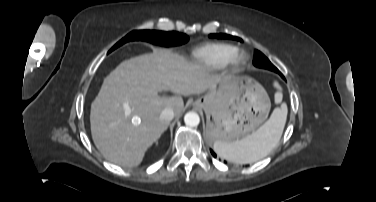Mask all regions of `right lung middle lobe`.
I'll return each instance as SVG.
<instances>
[{"mask_svg": "<svg viewBox=\"0 0 376 202\" xmlns=\"http://www.w3.org/2000/svg\"><path fill=\"white\" fill-rule=\"evenodd\" d=\"M188 36L179 32H164V31H155V30H139V31H132L123 39H121L116 45H114L111 50L108 52L110 53L117 47L121 46L122 44L128 41L134 40H142V41H149L153 44L163 45V46H176L184 44L188 41Z\"/></svg>", "mask_w": 376, "mask_h": 202, "instance_id": "1", "label": "right lung middle lobe"}]
</instances>
